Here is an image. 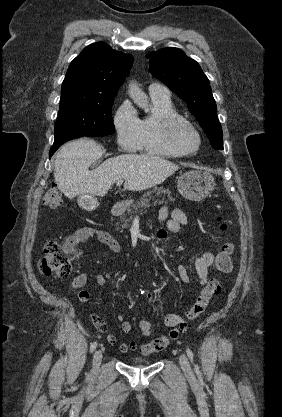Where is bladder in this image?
<instances>
[{
	"instance_id": "obj_1",
	"label": "bladder",
	"mask_w": 282,
	"mask_h": 417,
	"mask_svg": "<svg viewBox=\"0 0 282 417\" xmlns=\"http://www.w3.org/2000/svg\"><path fill=\"white\" fill-rule=\"evenodd\" d=\"M135 364H146L147 361L143 360V359H139V358H135L133 361Z\"/></svg>"
}]
</instances>
